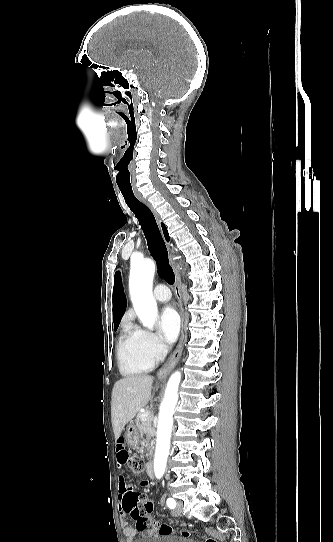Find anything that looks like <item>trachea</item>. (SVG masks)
<instances>
[{
  "label": "trachea",
  "instance_id": "trachea-1",
  "mask_svg": "<svg viewBox=\"0 0 333 542\" xmlns=\"http://www.w3.org/2000/svg\"><path fill=\"white\" fill-rule=\"evenodd\" d=\"M120 191L141 225L150 253L156 260L158 274L172 285L175 281V275L169 265L167 249L153 213L150 208L135 197L132 189H120Z\"/></svg>",
  "mask_w": 333,
  "mask_h": 542
}]
</instances>
